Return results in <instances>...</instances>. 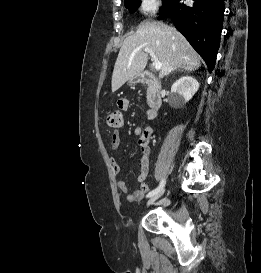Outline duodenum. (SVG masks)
I'll use <instances>...</instances> for the list:
<instances>
[{
    "instance_id": "duodenum-1",
    "label": "duodenum",
    "mask_w": 261,
    "mask_h": 273,
    "mask_svg": "<svg viewBox=\"0 0 261 273\" xmlns=\"http://www.w3.org/2000/svg\"><path fill=\"white\" fill-rule=\"evenodd\" d=\"M139 83L146 84L150 89V111L155 113L162 104L161 86L157 78L151 72H143Z\"/></svg>"
}]
</instances>
